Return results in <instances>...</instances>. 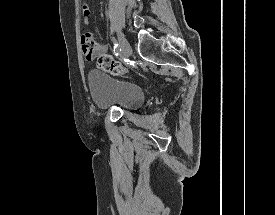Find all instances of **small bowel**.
Masks as SVG:
<instances>
[{"mask_svg": "<svg viewBox=\"0 0 275 215\" xmlns=\"http://www.w3.org/2000/svg\"><path fill=\"white\" fill-rule=\"evenodd\" d=\"M91 15V9L86 3L82 7V16L86 23H88L89 17ZM82 55L84 60L90 62L96 57L105 54L108 51V46L94 40V35L91 31L83 33L80 37Z\"/></svg>", "mask_w": 275, "mask_h": 215, "instance_id": "1", "label": "small bowel"}]
</instances>
